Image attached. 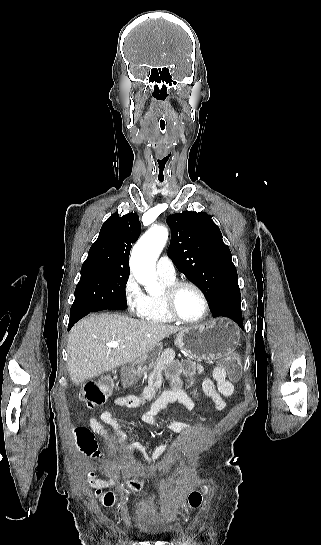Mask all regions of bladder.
Here are the masks:
<instances>
[{"label":"bladder","mask_w":321,"mask_h":545,"mask_svg":"<svg viewBox=\"0 0 321 545\" xmlns=\"http://www.w3.org/2000/svg\"><path fill=\"white\" fill-rule=\"evenodd\" d=\"M129 526L144 537H157L168 531L160 506L154 496L135 500L128 512Z\"/></svg>","instance_id":"1"}]
</instances>
